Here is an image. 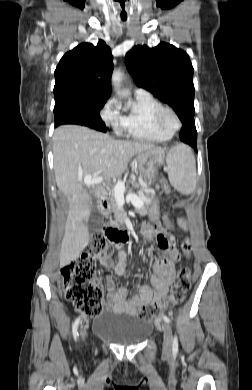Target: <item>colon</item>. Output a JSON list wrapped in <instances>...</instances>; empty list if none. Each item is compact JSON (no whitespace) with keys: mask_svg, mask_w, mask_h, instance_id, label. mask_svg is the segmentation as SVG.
Instances as JSON below:
<instances>
[{"mask_svg":"<svg viewBox=\"0 0 252 390\" xmlns=\"http://www.w3.org/2000/svg\"><path fill=\"white\" fill-rule=\"evenodd\" d=\"M180 220L179 218L178 221ZM164 222L168 228H172L167 216H164ZM114 237H116V234L110 228L97 233L86 250L62 269V286L66 298L85 317H96L102 311L104 290L101 282L97 279L96 265L100 258L110 257L113 254ZM182 250L186 255L189 254L190 243L188 240L182 243ZM122 260H124V257H122ZM190 287V270L182 268L174 287L163 302L140 309L138 315L150 317L180 303Z\"/></svg>","mask_w":252,"mask_h":390,"instance_id":"5ec220e1","label":"colon"}]
</instances>
